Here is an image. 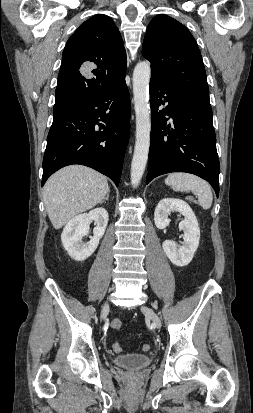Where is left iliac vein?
I'll return each mask as SVG.
<instances>
[{"label": "left iliac vein", "instance_id": "left-iliac-vein-1", "mask_svg": "<svg viewBox=\"0 0 253 413\" xmlns=\"http://www.w3.org/2000/svg\"><path fill=\"white\" fill-rule=\"evenodd\" d=\"M141 310L152 321L155 327H157L158 329L161 328V320L151 308L142 306Z\"/></svg>", "mask_w": 253, "mask_h": 413}]
</instances>
